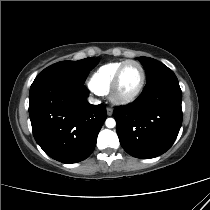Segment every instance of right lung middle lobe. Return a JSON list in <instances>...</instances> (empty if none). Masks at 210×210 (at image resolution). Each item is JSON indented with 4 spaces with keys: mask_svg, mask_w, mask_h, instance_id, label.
I'll return each instance as SVG.
<instances>
[{
    "mask_svg": "<svg viewBox=\"0 0 210 210\" xmlns=\"http://www.w3.org/2000/svg\"><path fill=\"white\" fill-rule=\"evenodd\" d=\"M99 62L96 58H85L79 61H61L40 72L34 81L42 79H67L85 82L89 71Z\"/></svg>",
    "mask_w": 210,
    "mask_h": 210,
    "instance_id": "dd1d6c3e",
    "label": "right lung middle lobe"
}]
</instances>
